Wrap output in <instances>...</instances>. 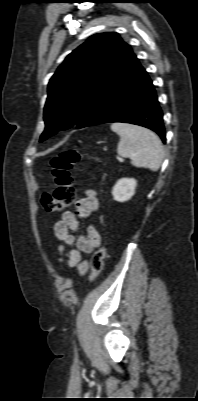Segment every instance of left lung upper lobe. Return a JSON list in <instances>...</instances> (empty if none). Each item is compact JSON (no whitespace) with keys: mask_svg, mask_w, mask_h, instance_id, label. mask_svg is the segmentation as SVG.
Returning <instances> with one entry per match:
<instances>
[{"mask_svg":"<svg viewBox=\"0 0 198 401\" xmlns=\"http://www.w3.org/2000/svg\"><path fill=\"white\" fill-rule=\"evenodd\" d=\"M118 33H100L73 50L48 84L40 142L78 122L92 100L131 55Z\"/></svg>","mask_w":198,"mask_h":401,"instance_id":"left-lung-upper-lobe-1","label":"left lung upper lobe"}]
</instances>
